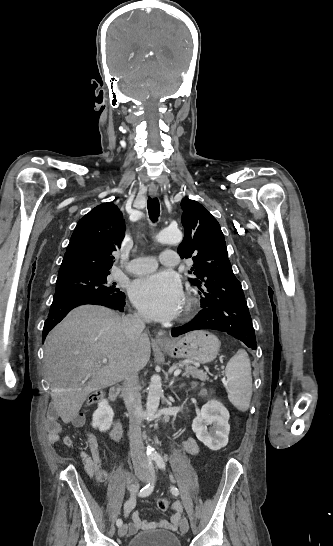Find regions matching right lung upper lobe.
I'll return each instance as SVG.
<instances>
[{
	"label": "right lung upper lobe",
	"instance_id": "obj_1",
	"mask_svg": "<svg viewBox=\"0 0 333 546\" xmlns=\"http://www.w3.org/2000/svg\"><path fill=\"white\" fill-rule=\"evenodd\" d=\"M125 223L112 202L93 208L82 217L71 236L58 278L77 273L109 272L112 252L120 248Z\"/></svg>",
	"mask_w": 333,
	"mask_h": 546
}]
</instances>
